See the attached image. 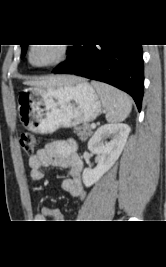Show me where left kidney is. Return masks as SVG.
I'll return each instance as SVG.
<instances>
[{"label": "left kidney", "instance_id": "left-kidney-1", "mask_svg": "<svg viewBox=\"0 0 166 267\" xmlns=\"http://www.w3.org/2000/svg\"><path fill=\"white\" fill-rule=\"evenodd\" d=\"M129 133L130 127L123 123L107 124L97 129L88 142V149L98 156V163L94 169H84L82 179L86 187L96 183L114 165L125 147Z\"/></svg>", "mask_w": 166, "mask_h": 267}]
</instances>
